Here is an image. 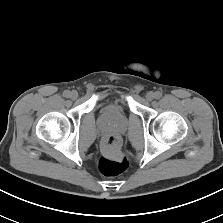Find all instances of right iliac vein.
Returning a JSON list of instances; mask_svg holds the SVG:
<instances>
[{
  "mask_svg": "<svg viewBox=\"0 0 223 223\" xmlns=\"http://www.w3.org/2000/svg\"><path fill=\"white\" fill-rule=\"evenodd\" d=\"M70 97H71L72 99H77V97H78V93H77V91H72V92L70 93Z\"/></svg>",
  "mask_w": 223,
  "mask_h": 223,
  "instance_id": "63e3f726",
  "label": "right iliac vein"
}]
</instances>
